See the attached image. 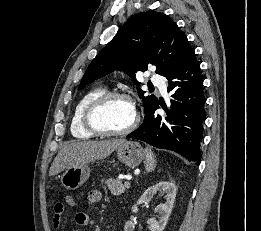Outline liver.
Masks as SVG:
<instances>
[{
	"mask_svg": "<svg viewBox=\"0 0 261 231\" xmlns=\"http://www.w3.org/2000/svg\"><path fill=\"white\" fill-rule=\"evenodd\" d=\"M124 139L80 141L65 144L55 157L49 171L54 176L66 168L86 165L96 159L109 156Z\"/></svg>",
	"mask_w": 261,
	"mask_h": 231,
	"instance_id": "6515ba94",
	"label": "liver"
}]
</instances>
